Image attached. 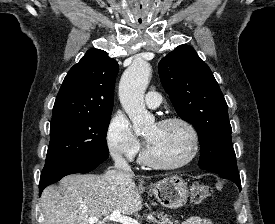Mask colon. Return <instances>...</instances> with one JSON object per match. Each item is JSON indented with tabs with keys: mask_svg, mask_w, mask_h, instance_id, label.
I'll use <instances>...</instances> for the list:
<instances>
[{
	"mask_svg": "<svg viewBox=\"0 0 275 224\" xmlns=\"http://www.w3.org/2000/svg\"><path fill=\"white\" fill-rule=\"evenodd\" d=\"M190 193L193 203H201L210 197L211 189L203 183L194 182L190 186Z\"/></svg>",
	"mask_w": 275,
	"mask_h": 224,
	"instance_id": "1",
	"label": "colon"
}]
</instances>
